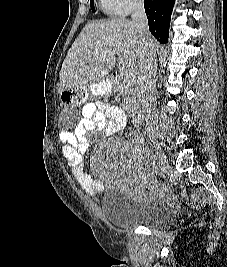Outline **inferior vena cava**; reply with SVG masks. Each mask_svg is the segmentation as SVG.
<instances>
[{"label": "inferior vena cava", "instance_id": "obj_1", "mask_svg": "<svg viewBox=\"0 0 227 267\" xmlns=\"http://www.w3.org/2000/svg\"><path fill=\"white\" fill-rule=\"evenodd\" d=\"M132 23L139 33L144 46V60L138 77V86L145 110V123L148 137H154L158 132V116L156 109V72L157 59L155 50L148 43L151 36L142 0H134L132 4Z\"/></svg>", "mask_w": 227, "mask_h": 267}]
</instances>
